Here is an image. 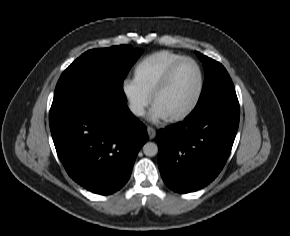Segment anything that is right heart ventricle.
Returning a JSON list of instances; mask_svg holds the SVG:
<instances>
[{
	"mask_svg": "<svg viewBox=\"0 0 290 236\" xmlns=\"http://www.w3.org/2000/svg\"><path fill=\"white\" fill-rule=\"evenodd\" d=\"M179 58L173 54H161L145 61L137 70L136 81L145 91H152Z\"/></svg>",
	"mask_w": 290,
	"mask_h": 236,
	"instance_id": "e07e8e85",
	"label": "right heart ventricle"
}]
</instances>
